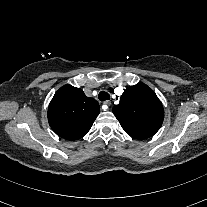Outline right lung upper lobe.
<instances>
[{
    "mask_svg": "<svg viewBox=\"0 0 207 207\" xmlns=\"http://www.w3.org/2000/svg\"><path fill=\"white\" fill-rule=\"evenodd\" d=\"M100 112L98 102L87 97L80 88L61 87L48 109V121L57 135L67 140L82 138Z\"/></svg>",
    "mask_w": 207,
    "mask_h": 207,
    "instance_id": "cb5924a9",
    "label": "right lung upper lobe"
}]
</instances>
